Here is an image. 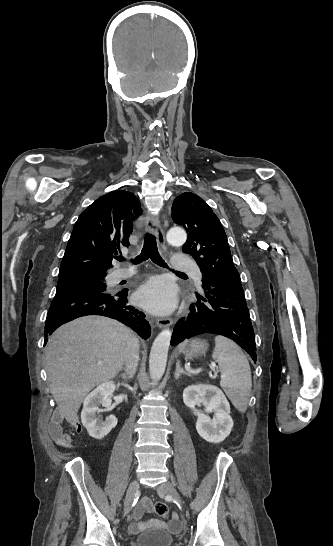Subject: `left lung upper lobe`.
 <instances>
[{
  "mask_svg": "<svg viewBox=\"0 0 333 546\" xmlns=\"http://www.w3.org/2000/svg\"><path fill=\"white\" fill-rule=\"evenodd\" d=\"M173 221L188 232L182 247L193 256L205 282L213 287L241 286L223 226L212 209L196 194L185 192L172 205Z\"/></svg>",
  "mask_w": 333,
  "mask_h": 546,
  "instance_id": "5c2ea615",
  "label": "left lung upper lobe"
}]
</instances>
